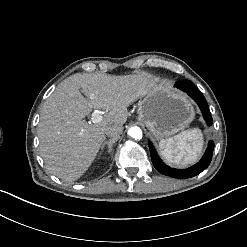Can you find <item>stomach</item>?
I'll return each instance as SVG.
<instances>
[{
	"label": "stomach",
	"mask_w": 247,
	"mask_h": 247,
	"mask_svg": "<svg viewBox=\"0 0 247 247\" xmlns=\"http://www.w3.org/2000/svg\"><path fill=\"white\" fill-rule=\"evenodd\" d=\"M139 118L154 138L174 139L195 119L193 101L171 82L162 80L140 102Z\"/></svg>",
	"instance_id": "1"
}]
</instances>
